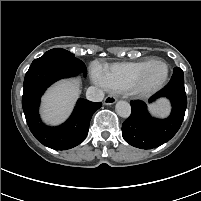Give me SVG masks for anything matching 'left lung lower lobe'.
<instances>
[{
  "label": "left lung lower lobe",
  "instance_id": "0a47b994",
  "mask_svg": "<svg viewBox=\"0 0 201 201\" xmlns=\"http://www.w3.org/2000/svg\"><path fill=\"white\" fill-rule=\"evenodd\" d=\"M162 97H167L172 104L171 115L166 119L152 117L143 101L131 102V115L122 124L123 138L130 145L141 149L156 148L169 141L179 130L187 106L184 74L180 68H174L170 82L149 102Z\"/></svg>",
  "mask_w": 201,
  "mask_h": 201
}]
</instances>
